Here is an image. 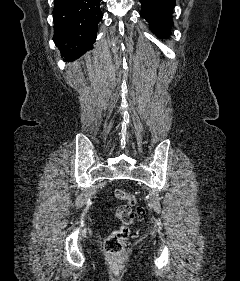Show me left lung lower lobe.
I'll list each match as a JSON object with an SVG mask.
<instances>
[{"label": "left lung lower lobe", "instance_id": "obj_1", "mask_svg": "<svg viewBox=\"0 0 240 281\" xmlns=\"http://www.w3.org/2000/svg\"><path fill=\"white\" fill-rule=\"evenodd\" d=\"M142 4L140 15L149 22L151 30L158 38L170 34L171 18L175 0H139Z\"/></svg>", "mask_w": 240, "mask_h": 281}]
</instances>
